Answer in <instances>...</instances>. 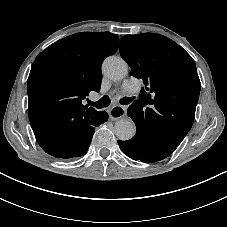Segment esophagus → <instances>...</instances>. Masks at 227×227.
<instances>
[{"mask_svg":"<svg viewBox=\"0 0 227 227\" xmlns=\"http://www.w3.org/2000/svg\"><path fill=\"white\" fill-rule=\"evenodd\" d=\"M126 114V108L121 105H114L109 110V118L111 120H118L122 117H124Z\"/></svg>","mask_w":227,"mask_h":227,"instance_id":"obj_1","label":"esophagus"}]
</instances>
